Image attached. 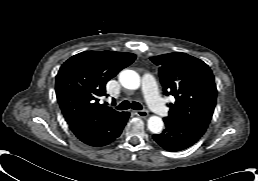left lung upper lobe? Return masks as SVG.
I'll return each mask as SVG.
<instances>
[{
  "instance_id": "1",
  "label": "left lung upper lobe",
  "mask_w": 258,
  "mask_h": 181,
  "mask_svg": "<svg viewBox=\"0 0 258 181\" xmlns=\"http://www.w3.org/2000/svg\"><path fill=\"white\" fill-rule=\"evenodd\" d=\"M160 66L165 95L175 97L164 119L207 129L216 105L217 89L212 71L200 59L185 53H169L150 58Z\"/></svg>"
}]
</instances>
